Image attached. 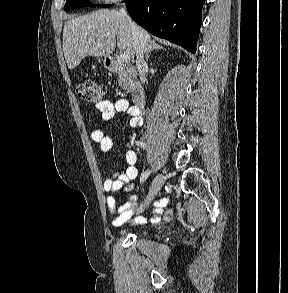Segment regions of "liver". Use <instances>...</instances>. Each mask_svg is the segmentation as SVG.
<instances>
[{
  "instance_id": "6515ba94",
  "label": "liver",
  "mask_w": 288,
  "mask_h": 293,
  "mask_svg": "<svg viewBox=\"0 0 288 293\" xmlns=\"http://www.w3.org/2000/svg\"><path fill=\"white\" fill-rule=\"evenodd\" d=\"M139 29L146 47L151 42L150 34ZM116 43L121 51L134 58L136 50L131 28L117 10H98L71 18L64 25L63 52L69 69L77 67L87 56H110Z\"/></svg>"
}]
</instances>
